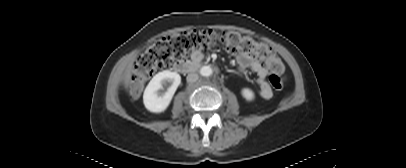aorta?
Returning a JSON list of instances; mask_svg holds the SVG:
<instances>
[{
    "mask_svg": "<svg viewBox=\"0 0 406 168\" xmlns=\"http://www.w3.org/2000/svg\"><path fill=\"white\" fill-rule=\"evenodd\" d=\"M200 74L204 77L212 75V68L210 66H203L200 68Z\"/></svg>",
    "mask_w": 406,
    "mask_h": 168,
    "instance_id": "762f6f07",
    "label": "aorta"
}]
</instances>
